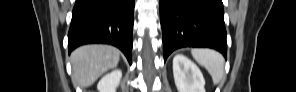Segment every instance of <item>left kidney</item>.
Masks as SVG:
<instances>
[{
	"instance_id": "1",
	"label": "left kidney",
	"mask_w": 296,
	"mask_h": 92,
	"mask_svg": "<svg viewBox=\"0 0 296 92\" xmlns=\"http://www.w3.org/2000/svg\"><path fill=\"white\" fill-rule=\"evenodd\" d=\"M173 76L178 92H205L200 69L184 55L173 58Z\"/></svg>"
}]
</instances>
